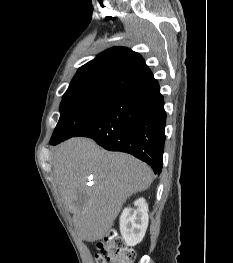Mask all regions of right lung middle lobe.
I'll return each mask as SVG.
<instances>
[{
    "label": "right lung middle lobe",
    "instance_id": "right-lung-middle-lobe-1",
    "mask_svg": "<svg viewBox=\"0 0 233 263\" xmlns=\"http://www.w3.org/2000/svg\"><path fill=\"white\" fill-rule=\"evenodd\" d=\"M116 97L117 94L112 93L64 95L60 105V119L51 140H65L75 136L101 117Z\"/></svg>",
    "mask_w": 233,
    "mask_h": 263
}]
</instances>
